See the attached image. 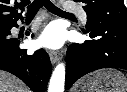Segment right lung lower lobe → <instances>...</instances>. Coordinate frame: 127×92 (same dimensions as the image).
Returning <instances> with one entry per match:
<instances>
[{"instance_id":"right-lung-lower-lobe-1","label":"right lung lower lobe","mask_w":127,"mask_h":92,"mask_svg":"<svg viewBox=\"0 0 127 92\" xmlns=\"http://www.w3.org/2000/svg\"><path fill=\"white\" fill-rule=\"evenodd\" d=\"M12 27H18L17 21L0 26V69L19 77L34 92H45L51 75L48 54L43 49L27 54L19 48L21 42L11 37Z\"/></svg>"}]
</instances>
